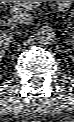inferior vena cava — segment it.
<instances>
[{"label": "inferior vena cava", "mask_w": 74, "mask_h": 122, "mask_svg": "<svg viewBox=\"0 0 74 122\" xmlns=\"http://www.w3.org/2000/svg\"><path fill=\"white\" fill-rule=\"evenodd\" d=\"M12 22L20 25H29L33 21V16L26 9L21 8L11 18Z\"/></svg>", "instance_id": "1"}]
</instances>
